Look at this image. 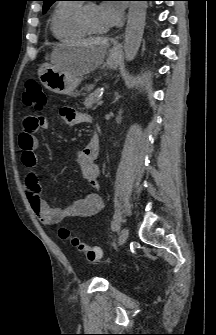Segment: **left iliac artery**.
I'll list each match as a JSON object with an SVG mask.
<instances>
[{
	"instance_id": "left-iliac-artery-1",
	"label": "left iliac artery",
	"mask_w": 216,
	"mask_h": 335,
	"mask_svg": "<svg viewBox=\"0 0 216 335\" xmlns=\"http://www.w3.org/2000/svg\"><path fill=\"white\" fill-rule=\"evenodd\" d=\"M120 228V223L119 222H113L112 223V230L117 231Z\"/></svg>"
}]
</instances>
